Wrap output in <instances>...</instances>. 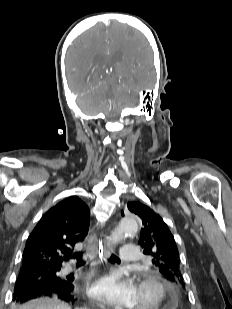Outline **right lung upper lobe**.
I'll list each match as a JSON object with an SVG mask.
<instances>
[{
  "instance_id": "right-lung-upper-lobe-1",
  "label": "right lung upper lobe",
  "mask_w": 232,
  "mask_h": 309,
  "mask_svg": "<svg viewBox=\"0 0 232 309\" xmlns=\"http://www.w3.org/2000/svg\"><path fill=\"white\" fill-rule=\"evenodd\" d=\"M89 208L77 196H70L49 209L29 235L22 264L30 263L42 272L59 271L71 258L72 248L89 230Z\"/></svg>"
}]
</instances>
